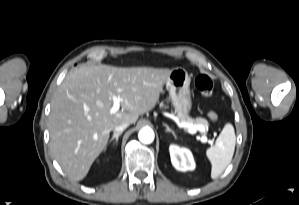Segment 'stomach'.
<instances>
[{"label":"stomach","instance_id":"0dacf381","mask_svg":"<svg viewBox=\"0 0 299 205\" xmlns=\"http://www.w3.org/2000/svg\"><path fill=\"white\" fill-rule=\"evenodd\" d=\"M190 82L191 78L188 72L181 67L172 69L165 82L176 112L185 117L188 116L192 108Z\"/></svg>","mask_w":299,"mask_h":205}]
</instances>
